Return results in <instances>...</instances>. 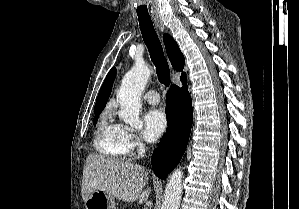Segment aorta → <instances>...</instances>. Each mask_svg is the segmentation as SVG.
<instances>
[{
  "instance_id": "762f6f07",
  "label": "aorta",
  "mask_w": 299,
  "mask_h": 209,
  "mask_svg": "<svg viewBox=\"0 0 299 209\" xmlns=\"http://www.w3.org/2000/svg\"><path fill=\"white\" fill-rule=\"evenodd\" d=\"M150 74L151 70L145 64L136 63L124 76L117 94V100L121 108L119 117L133 128L142 127V121L139 117L142 108L140 96L150 78ZM182 181V170H174L166 186L161 209H179L183 189Z\"/></svg>"
}]
</instances>
